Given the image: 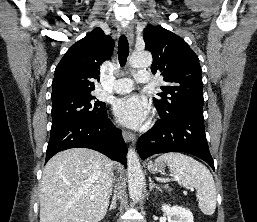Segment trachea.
Instances as JSON below:
<instances>
[{"label": "trachea", "mask_w": 257, "mask_h": 222, "mask_svg": "<svg viewBox=\"0 0 257 222\" xmlns=\"http://www.w3.org/2000/svg\"><path fill=\"white\" fill-rule=\"evenodd\" d=\"M129 55V43L125 35H121L118 42V59L121 67L125 66Z\"/></svg>", "instance_id": "trachea-1"}]
</instances>
